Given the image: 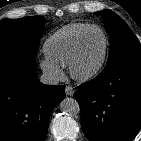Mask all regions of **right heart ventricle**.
<instances>
[{"mask_svg":"<svg viewBox=\"0 0 141 141\" xmlns=\"http://www.w3.org/2000/svg\"><path fill=\"white\" fill-rule=\"evenodd\" d=\"M91 24L71 23L58 29L44 43L45 55L59 65L67 66L79 35Z\"/></svg>","mask_w":141,"mask_h":141,"instance_id":"1","label":"right heart ventricle"}]
</instances>
